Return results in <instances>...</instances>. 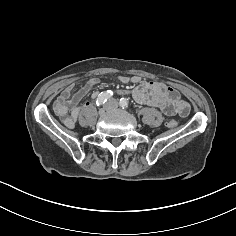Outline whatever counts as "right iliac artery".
I'll return each instance as SVG.
<instances>
[{"instance_id": "82829eb1", "label": "right iliac artery", "mask_w": 236, "mask_h": 236, "mask_svg": "<svg viewBox=\"0 0 236 236\" xmlns=\"http://www.w3.org/2000/svg\"><path fill=\"white\" fill-rule=\"evenodd\" d=\"M112 95L113 92L111 90L100 93L96 99L97 106L104 104Z\"/></svg>"}]
</instances>
